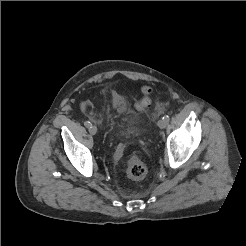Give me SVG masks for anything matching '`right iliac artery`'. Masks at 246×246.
Returning <instances> with one entry per match:
<instances>
[{
  "label": "right iliac artery",
  "mask_w": 246,
  "mask_h": 246,
  "mask_svg": "<svg viewBox=\"0 0 246 246\" xmlns=\"http://www.w3.org/2000/svg\"><path fill=\"white\" fill-rule=\"evenodd\" d=\"M84 125L87 127V128H90L92 126L91 122L89 121H85L84 122Z\"/></svg>",
  "instance_id": "right-iliac-artery-1"
}]
</instances>
